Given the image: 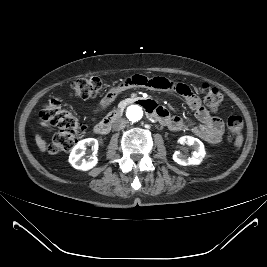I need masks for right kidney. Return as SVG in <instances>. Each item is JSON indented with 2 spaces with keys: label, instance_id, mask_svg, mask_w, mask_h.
<instances>
[{
  "label": "right kidney",
  "instance_id": "ca27d5eb",
  "mask_svg": "<svg viewBox=\"0 0 267 267\" xmlns=\"http://www.w3.org/2000/svg\"><path fill=\"white\" fill-rule=\"evenodd\" d=\"M87 146L92 147L93 153L92 155L88 156L89 157L88 160L81 159L82 156L84 155ZM97 150H98L97 139L87 138L81 140L72 149L69 156V162L74 168L87 171L96 166L98 162V158L96 157Z\"/></svg>",
  "mask_w": 267,
  "mask_h": 267
}]
</instances>
